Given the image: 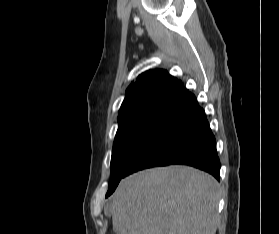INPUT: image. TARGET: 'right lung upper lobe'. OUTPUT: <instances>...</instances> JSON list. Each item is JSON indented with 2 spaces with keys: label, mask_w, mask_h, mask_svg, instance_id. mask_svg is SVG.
Listing matches in <instances>:
<instances>
[{
  "label": "right lung upper lobe",
  "mask_w": 279,
  "mask_h": 234,
  "mask_svg": "<svg viewBox=\"0 0 279 234\" xmlns=\"http://www.w3.org/2000/svg\"><path fill=\"white\" fill-rule=\"evenodd\" d=\"M188 93L182 82L165 70L146 71L128 87L119 116L145 108L173 107Z\"/></svg>",
  "instance_id": "1"
}]
</instances>
